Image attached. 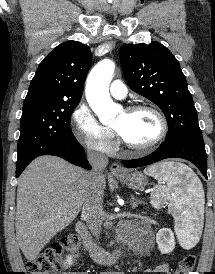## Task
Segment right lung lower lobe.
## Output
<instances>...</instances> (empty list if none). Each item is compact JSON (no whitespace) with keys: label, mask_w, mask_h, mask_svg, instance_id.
<instances>
[{"label":"right lung lower lobe","mask_w":215,"mask_h":274,"mask_svg":"<svg viewBox=\"0 0 215 274\" xmlns=\"http://www.w3.org/2000/svg\"><path fill=\"white\" fill-rule=\"evenodd\" d=\"M42 155H53L61 157L72 164L78 165L80 167L91 169L88 161L85 160V152L83 147L76 141L75 143H67L63 145L54 146L43 150L42 152L38 153L36 156L31 158L30 160L16 165V177H18L25 167L36 157Z\"/></svg>","instance_id":"right-lung-lower-lobe-1"}]
</instances>
